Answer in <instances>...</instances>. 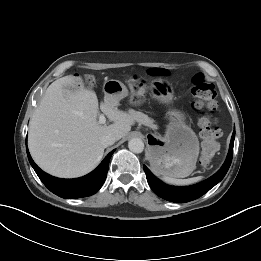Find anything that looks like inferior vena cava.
Here are the masks:
<instances>
[{"instance_id": "obj_1", "label": "inferior vena cava", "mask_w": 261, "mask_h": 261, "mask_svg": "<svg viewBox=\"0 0 261 261\" xmlns=\"http://www.w3.org/2000/svg\"><path fill=\"white\" fill-rule=\"evenodd\" d=\"M116 141V137L111 135V134H108V135H104L102 138H101V144L103 145V147H108L110 145H113Z\"/></svg>"}]
</instances>
